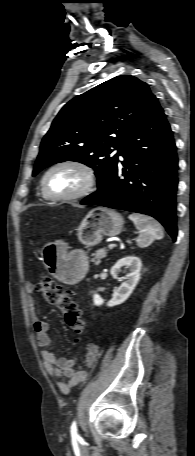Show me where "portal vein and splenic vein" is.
I'll return each mask as SVG.
<instances>
[{"label": "portal vein and splenic vein", "instance_id": "obj_1", "mask_svg": "<svg viewBox=\"0 0 195 456\" xmlns=\"http://www.w3.org/2000/svg\"><path fill=\"white\" fill-rule=\"evenodd\" d=\"M115 247V244H109L108 249H113Z\"/></svg>", "mask_w": 195, "mask_h": 456}]
</instances>
